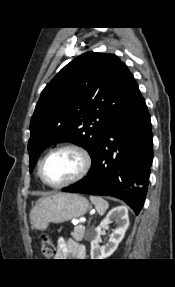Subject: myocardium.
I'll use <instances>...</instances> for the list:
<instances>
[{
	"label": "myocardium",
	"instance_id": "myocardium-1",
	"mask_svg": "<svg viewBox=\"0 0 175 287\" xmlns=\"http://www.w3.org/2000/svg\"><path fill=\"white\" fill-rule=\"evenodd\" d=\"M62 150H71V151L76 152L82 160V166H81L80 171L74 177L70 178L69 180H67L63 183L52 184V183L48 182L44 176V165H45L47 159L52 154H54L58 151H62ZM91 165H92V159H91V156L86 149H84L83 147L76 145V144H62V145L56 146L53 149H51L43 157V159L41 160L40 165H39V176H40V179L42 180V182L49 187H51V188H63V187L69 186L71 184H74V183L82 180L88 174V172L91 168Z\"/></svg>",
	"mask_w": 175,
	"mask_h": 287
}]
</instances>
